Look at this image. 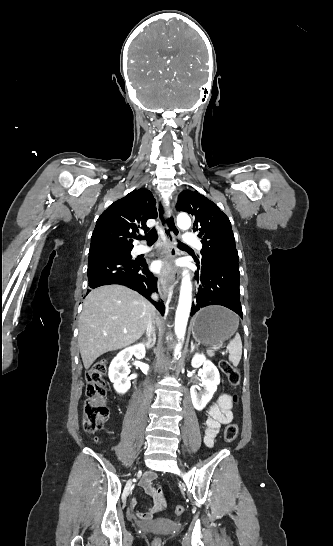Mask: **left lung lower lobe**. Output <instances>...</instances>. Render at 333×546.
Here are the masks:
<instances>
[{
	"mask_svg": "<svg viewBox=\"0 0 333 546\" xmlns=\"http://www.w3.org/2000/svg\"><path fill=\"white\" fill-rule=\"evenodd\" d=\"M197 268L195 278L199 288L192 303L191 316L202 307L222 305L236 312L242 318L238 264H213Z\"/></svg>",
	"mask_w": 333,
	"mask_h": 546,
	"instance_id": "obj_1",
	"label": "left lung lower lobe"
}]
</instances>
